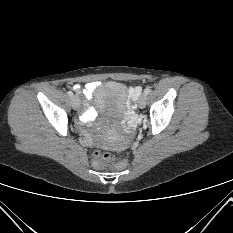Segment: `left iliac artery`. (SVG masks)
<instances>
[{
    "label": "left iliac artery",
    "instance_id": "1",
    "mask_svg": "<svg viewBox=\"0 0 233 233\" xmlns=\"http://www.w3.org/2000/svg\"><path fill=\"white\" fill-rule=\"evenodd\" d=\"M149 92H150V87L145 88V90H144V94L148 95V94H149Z\"/></svg>",
    "mask_w": 233,
    "mask_h": 233
}]
</instances>
